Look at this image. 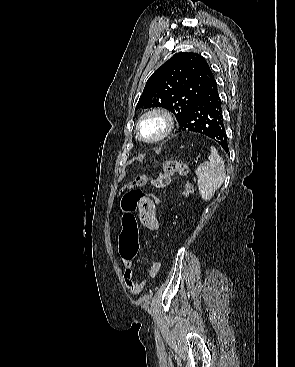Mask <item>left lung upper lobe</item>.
<instances>
[{
	"instance_id": "5c2ea615",
	"label": "left lung upper lobe",
	"mask_w": 295,
	"mask_h": 367,
	"mask_svg": "<svg viewBox=\"0 0 295 367\" xmlns=\"http://www.w3.org/2000/svg\"><path fill=\"white\" fill-rule=\"evenodd\" d=\"M211 77L212 70L201 55L178 53L151 75L136 109L163 107L180 125Z\"/></svg>"
}]
</instances>
